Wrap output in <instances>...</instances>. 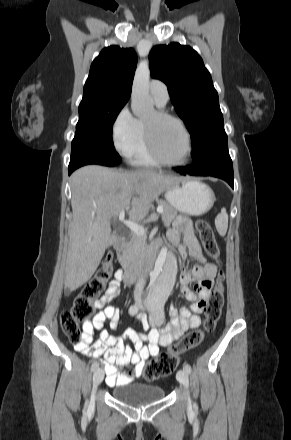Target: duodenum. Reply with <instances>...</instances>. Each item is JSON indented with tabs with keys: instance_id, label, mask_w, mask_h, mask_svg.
<instances>
[{
	"instance_id": "obj_1",
	"label": "duodenum",
	"mask_w": 291,
	"mask_h": 440,
	"mask_svg": "<svg viewBox=\"0 0 291 440\" xmlns=\"http://www.w3.org/2000/svg\"><path fill=\"white\" fill-rule=\"evenodd\" d=\"M121 235H115L114 249H117L121 242ZM143 259L134 265H127L124 269V280L130 284L137 281L140 278L146 276L154 267L156 262V250L149 249L144 253Z\"/></svg>"
}]
</instances>
